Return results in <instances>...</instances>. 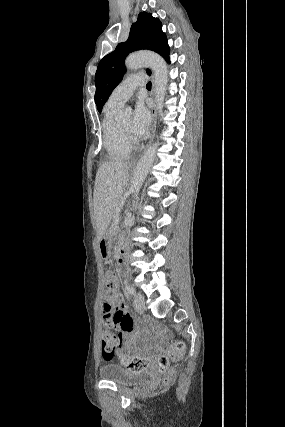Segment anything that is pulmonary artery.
Instances as JSON below:
<instances>
[{
  "label": "pulmonary artery",
  "instance_id": "1",
  "mask_svg": "<svg viewBox=\"0 0 285 427\" xmlns=\"http://www.w3.org/2000/svg\"><path fill=\"white\" fill-rule=\"evenodd\" d=\"M146 76L143 74H135L126 77L109 96L108 102L117 106H122L128 99L132 97L137 86H144Z\"/></svg>",
  "mask_w": 285,
  "mask_h": 427
}]
</instances>
